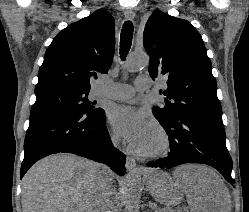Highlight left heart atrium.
I'll use <instances>...</instances> for the list:
<instances>
[{"instance_id": "obj_1", "label": "left heart atrium", "mask_w": 249, "mask_h": 212, "mask_svg": "<svg viewBox=\"0 0 249 212\" xmlns=\"http://www.w3.org/2000/svg\"><path fill=\"white\" fill-rule=\"evenodd\" d=\"M109 123L114 132L125 140L131 149L141 151L149 126L141 112L130 105L114 106L109 113Z\"/></svg>"}]
</instances>
